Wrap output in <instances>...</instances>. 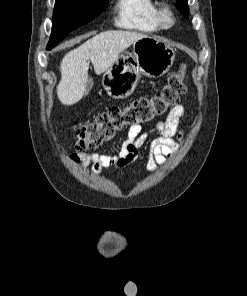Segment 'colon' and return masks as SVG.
<instances>
[{"mask_svg": "<svg viewBox=\"0 0 247 296\" xmlns=\"http://www.w3.org/2000/svg\"><path fill=\"white\" fill-rule=\"evenodd\" d=\"M185 80L186 72L182 67L170 75L166 84L154 95L136 99L124 107H110L93 121L77 124L76 151L81 154L96 150L127 127L164 115L185 93Z\"/></svg>", "mask_w": 247, "mask_h": 296, "instance_id": "colon-1", "label": "colon"}]
</instances>
